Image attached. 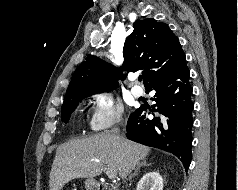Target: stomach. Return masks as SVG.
I'll return each instance as SVG.
<instances>
[{
	"mask_svg": "<svg viewBox=\"0 0 238 190\" xmlns=\"http://www.w3.org/2000/svg\"><path fill=\"white\" fill-rule=\"evenodd\" d=\"M97 187V182L94 179H87L85 181L86 190H94Z\"/></svg>",
	"mask_w": 238,
	"mask_h": 190,
	"instance_id": "obj_1",
	"label": "stomach"
}]
</instances>
